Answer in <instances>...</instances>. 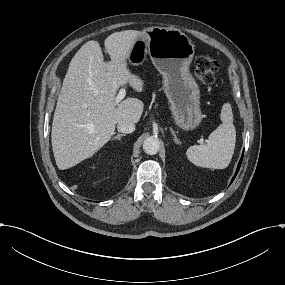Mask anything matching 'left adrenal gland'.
Here are the masks:
<instances>
[{"label":"left adrenal gland","mask_w":285,"mask_h":285,"mask_svg":"<svg viewBox=\"0 0 285 285\" xmlns=\"http://www.w3.org/2000/svg\"><path fill=\"white\" fill-rule=\"evenodd\" d=\"M170 130H171V134L174 136V139H175L174 141L176 142V144L181 145V142L178 141L177 136H176L175 132L173 131V129L170 128Z\"/></svg>","instance_id":"left-adrenal-gland-1"}]
</instances>
